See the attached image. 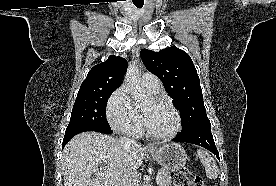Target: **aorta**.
Here are the masks:
<instances>
[{"label": "aorta", "instance_id": "aorta-1", "mask_svg": "<svg viewBox=\"0 0 276 186\" xmlns=\"http://www.w3.org/2000/svg\"><path fill=\"white\" fill-rule=\"evenodd\" d=\"M125 85L133 100L140 102L144 98V89L140 84V73L138 65L134 62L128 66L125 74ZM148 186V185H144Z\"/></svg>", "mask_w": 276, "mask_h": 186}]
</instances>
